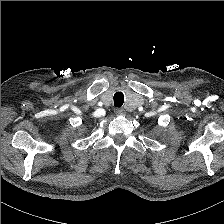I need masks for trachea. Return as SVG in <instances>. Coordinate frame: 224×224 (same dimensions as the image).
<instances>
[{
    "instance_id": "trachea-1",
    "label": "trachea",
    "mask_w": 224,
    "mask_h": 224,
    "mask_svg": "<svg viewBox=\"0 0 224 224\" xmlns=\"http://www.w3.org/2000/svg\"><path fill=\"white\" fill-rule=\"evenodd\" d=\"M114 106L115 107H121L124 103V95L122 92H116L114 94Z\"/></svg>"
}]
</instances>
